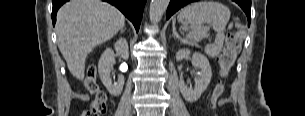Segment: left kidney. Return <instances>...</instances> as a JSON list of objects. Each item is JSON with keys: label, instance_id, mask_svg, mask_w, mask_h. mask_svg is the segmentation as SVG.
Returning a JSON list of instances; mask_svg holds the SVG:
<instances>
[{"label": "left kidney", "instance_id": "obj_1", "mask_svg": "<svg viewBox=\"0 0 305 116\" xmlns=\"http://www.w3.org/2000/svg\"><path fill=\"white\" fill-rule=\"evenodd\" d=\"M191 52L188 49H180L176 53V60L182 61L184 58H188ZM192 65L200 69L199 76L195 78V87L191 89L186 86L183 80L179 81L180 92L184 99L188 102L197 101L201 94L207 89L211 77L212 71L207 57L199 52H195L192 55Z\"/></svg>", "mask_w": 305, "mask_h": 116}]
</instances>
